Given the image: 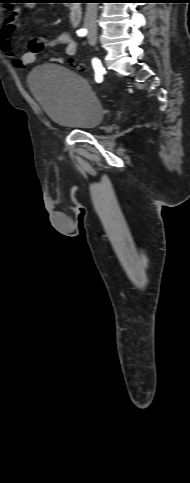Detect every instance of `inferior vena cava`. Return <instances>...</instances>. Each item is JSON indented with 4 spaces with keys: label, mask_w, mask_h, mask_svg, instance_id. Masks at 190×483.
I'll return each mask as SVG.
<instances>
[{
    "label": "inferior vena cava",
    "mask_w": 190,
    "mask_h": 483,
    "mask_svg": "<svg viewBox=\"0 0 190 483\" xmlns=\"http://www.w3.org/2000/svg\"><path fill=\"white\" fill-rule=\"evenodd\" d=\"M97 3H87L84 26L89 30H96Z\"/></svg>",
    "instance_id": "1"
}]
</instances>
